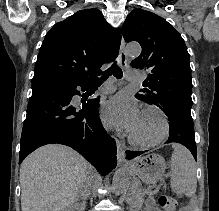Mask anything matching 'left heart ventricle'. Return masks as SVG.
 <instances>
[{
  "label": "left heart ventricle",
  "mask_w": 219,
  "mask_h": 211,
  "mask_svg": "<svg viewBox=\"0 0 219 211\" xmlns=\"http://www.w3.org/2000/svg\"><path fill=\"white\" fill-rule=\"evenodd\" d=\"M163 127L161 116L154 111L140 113L137 124L131 134L141 140H153L157 138Z\"/></svg>",
  "instance_id": "b2bd125f"
}]
</instances>
